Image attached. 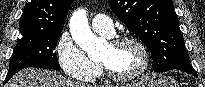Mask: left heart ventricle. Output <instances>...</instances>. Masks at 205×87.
<instances>
[{
    "instance_id": "obj_1",
    "label": "left heart ventricle",
    "mask_w": 205,
    "mask_h": 87,
    "mask_svg": "<svg viewBox=\"0 0 205 87\" xmlns=\"http://www.w3.org/2000/svg\"><path fill=\"white\" fill-rule=\"evenodd\" d=\"M117 75H127L138 70L142 63L140 50L132 44L113 47L109 44L103 51L100 59Z\"/></svg>"
}]
</instances>
